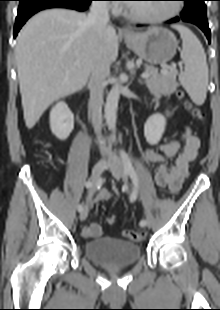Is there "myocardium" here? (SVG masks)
<instances>
[{
  "label": "myocardium",
  "instance_id": "myocardium-1",
  "mask_svg": "<svg viewBox=\"0 0 220 310\" xmlns=\"http://www.w3.org/2000/svg\"><path fill=\"white\" fill-rule=\"evenodd\" d=\"M180 11H181L180 5L175 3L172 5L171 10L167 14L160 17H147L144 15H140L130 11L129 8L125 10V14L136 22L145 24H160L174 18L180 13Z\"/></svg>",
  "mask_w": 220,
  "mask_h": 310
}]
</instances>
